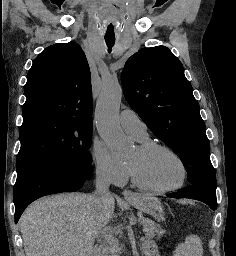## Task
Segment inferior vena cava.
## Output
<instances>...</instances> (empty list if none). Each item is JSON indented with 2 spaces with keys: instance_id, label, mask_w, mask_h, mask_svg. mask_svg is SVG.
<instances>
[{
  "instance_id": "602c4592",
  "label": "inferior vena cava",
  "mask_w": 236,
  "mask_h": 256,
  "mask_svg": "<svg viewBox=\"0 0 236 256\" xmlns=\"http://www.w3.org/2000/svg\"><path fill=\"white\" fill-rule=\"evenodd\" d=\"M112 182V174L106 166H97L95 192L91 198L95 204H99L100 208H108L112 198L109 194V186Z\"/></svg>"
}]
</instances>
